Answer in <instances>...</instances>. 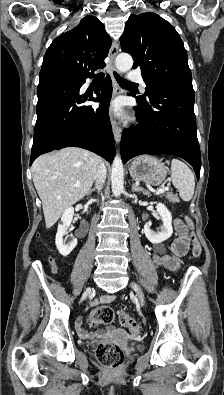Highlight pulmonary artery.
I'll return each mask as SVG.
<instances>
[{
    "instance_id": "obj_1",
    "label": "pulmonary artery",
    "mask_w": 224,
    "mask_h": 395,
    "mask_svg": "<svg viewBox=\"0 0 224 395\" xmlns=\"http://www.w3.org/2000/svg\"><path fill=\"white\" fill-rule=\"evenodd\" d=\"M129 79L132 81H138L141 82L143 86H145V82L141 76V74L136 71V70H130L129 71Z\"/></svg>"
}]
</instances>
